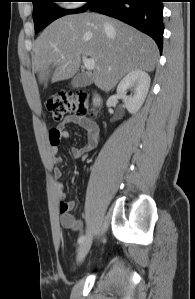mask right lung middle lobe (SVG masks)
Returning <instances> with one entry per match:
<instances>
[{
  "label": "right lung middle lobe",
  "mask_w": 195,
  "mask_h": 299,
  "mask_svg": "<svg viewBox=\"0 0 195 299\" xmlns=\"http://www.w3.org/2000/svg\"><path fill=\"white\" fill-rule=\"evenodd\" d=\"M53 1L54 0H32L34 6L33 20L35 33H38L59 17L86 11L93 0H86L88 3L84 7L75 10L61 9L57 7Z\"/></svg>",
  "instance_id": "1"
}]
</instances>
